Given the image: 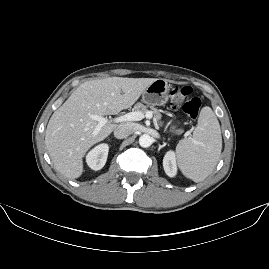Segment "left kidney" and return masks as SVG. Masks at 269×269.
<instances>
[{
    "mask_svg": "<svg viewBox=\"0 0 269 269\" xmlns=\"http://www.w3.org/2000/svg\"><path fill=\"white\" fill-rule=\"evenodd\" d=\"M163 166L168 176H174L176 173L175 158L173 152H168L163 160Z\"/></svg>",
    "mask_w": 269,
    "mask_h": 269,
    "instance_id": "5707ae66",
    "label": "left kidney"
}]
</instances>
